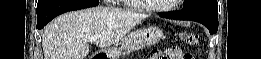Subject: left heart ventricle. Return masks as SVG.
I'll return each mask as SVG.
<instances>
[{"mask_svg":"<svg viewBox=\"0 0 261 59\" xmlns=\"http://www.w3.org/2000/svg\"><path fill=\"white\" fill-rule=\"evenodd\" d=\"M175 2V0H153L150 1L152 5L155 6H170Z\"/></svg>","mask_w":261,"mask_h":59,"instance_id":"1","label":"left heart ventricle"}]
</instances>
